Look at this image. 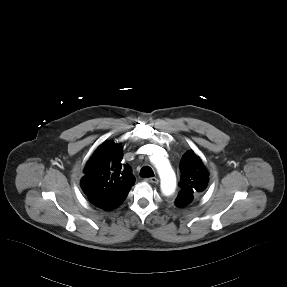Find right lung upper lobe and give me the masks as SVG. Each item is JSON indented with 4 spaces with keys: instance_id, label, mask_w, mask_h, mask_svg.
<instances>
[{
    "instance_id": "cb5924a9",
    "label": "right lung upper lobe",
    "mask_w": 287,
    "mask_h": 287,
    "mask_svg": "<svg viewBox=\"0 0 287 287\" xmlns=\"http://www.w3.org/2000/svg\"><path fill=\"white\" fill-rule=\"evenodd\" d=\"M120 144H101L84 168L81 180L83 192L90 202L109 204L125 200L135 182L131 167L123 164Z\"/></svg>"
}]
</instances>
